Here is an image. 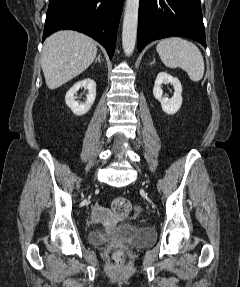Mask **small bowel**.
Returning a JSON list of instances; mask_svg holds the SVG:
<instances>
[{
  "mask_svg": "<svg viewBox=\"0 0 240 287\" xmlns=\"http://www.w3.org/2000/svg\"><path fill=\"white\" fill-rule=\"evenodd\" d=\"M92 216L96 220H105L113 218V214L108 208L95 206L92 210Z\"/></svg>",
  "mask_w": 240,
  "mask_h": 287,
  "instance_id": "c3829d8e",
  "label": "small bowel"
}]
</instances>
